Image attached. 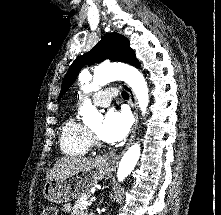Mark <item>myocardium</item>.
I'll list each match as a JSON object with an SVG mask.
<instances>
[{
	"label": "myocardium",
	"instance_id": "1",
	"mask_svg": "<svg viewBox=\"0 0 221 215\" xmlns=\"http://www.w3.org/2000/svg\"><path fill=\"white\" fill-rule=\"evenodd\" d=\"M91 137H92L93 142L95 143V145L100 147L101 143L98 140L97 134L95 132H91Z\"/></svg>",
	"mask_w": 221,
	"mask_h": 215
}]
</instances>
